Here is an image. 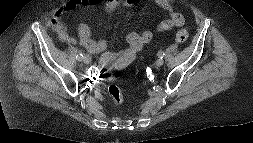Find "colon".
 <instances>
[{"label": "colon", "instance_id": "5ec220e1", "mask_svg": "<svg viewBox=\"0 0 253 143\" xmlns=\"http://www.w3.org/2000/svg\"><path fill=\"white\" fill-rule=\"evenodd\" d=\"M189 37V33L186 29L179 30L175 34V41L177 43L185 42ZM131 61L129 59H123L121 61H117L112 57H104L101 60L102 66H117V67H124L128 65ZM102 78L109 81L108 85V93L111 98L118 104H122L124 102V96L116 83V78L107 74H103Z\"/></svg>", "mask_w": 253, "mask_h": 143}]
</instances>
